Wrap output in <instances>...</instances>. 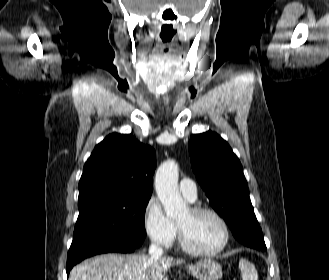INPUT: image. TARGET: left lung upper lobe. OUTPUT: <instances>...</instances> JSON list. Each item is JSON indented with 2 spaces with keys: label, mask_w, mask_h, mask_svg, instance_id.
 I'll list each match as a JSON object with an SVG mask.
<instances>
[{
  "label": "left lung upper lobe",
  "mask_w": 329,
  "mask_h": 280,
  "mask_svg": "<svg viewBox=\"0 0 329 280\" xmlns=\"http://www.w3.org/2000/svg\"><path fill=\"white\" fill-rule=\"evenodd\" d=\"M189 153L198 182L233 235L238 230L252 229L254 233L244 236L240 242L253 248H266L260 226L254 227L258 222L242 165L228 143L212 131L192 135Z\"/></svg>",
  "instance_id": "5c2ea615"
}]
</instances>
